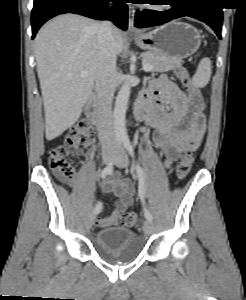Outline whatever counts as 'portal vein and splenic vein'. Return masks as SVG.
<instances>
[{
  "label": "portal vein and splenic vein",
  "mask_w": 246,
  "mask_h": 300,
  "mask_svg": "<svg viewBox=\"0 0 246 300\" xmlns=\"http://www.w3.org/2000/svg\"><path fill=\"white\" fill-rule=\"evenodd\" d=\"M143 69H144V71L149 72V71L152 70V67H151L149 64H143ZM81 75H82V76H85V75H87V72H86V71H83V72L81 73Z\"/></svg>",
  "instance_id": "obj_1"
}]
</instances>
